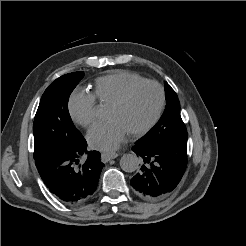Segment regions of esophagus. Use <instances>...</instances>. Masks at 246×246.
<instances>
[{
    "label": "esophagus",
    "instance_id": "34e87169",
    "mask_svg": "<svg viewBox=\"0 0 246 246\" xmlns=\"http://www.w3.org/2000/svg\"><path fill=\"white\" fill-rule=\"evenodd\" d=\"M117 156H118V154H116V153L104 152L101 154V160L106 163L112 159H115Z\"/></svg>",
    "mask_w": 246,
    "mask_h": 246
}]
</instances>
